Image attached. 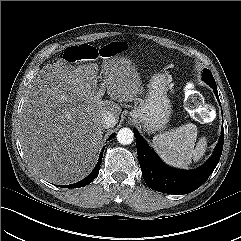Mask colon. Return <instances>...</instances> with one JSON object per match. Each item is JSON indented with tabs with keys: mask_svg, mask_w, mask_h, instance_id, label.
<instances>
[{
	"mask_svg": "<svg viewBox=\"0 0 241 241\" xmlns=\"http://www.w3.org/2000/svg\"><path fill=\"white\" fill-rule=\"evenodd\" d=\"M123 50L120 43H110L100 48L91 45L72 46L65 50L64 59L68 62L92 61L97 58L110 57ZM185 106L189 113L201 121L212 118V110L204 104L201 94L190 89L186 94Z\"/></svg>",
	"mask_w": 241,
	"mask_h": 241,
	"instance_id": "obj_1",
	"label": "colon"
}]
</instances>
